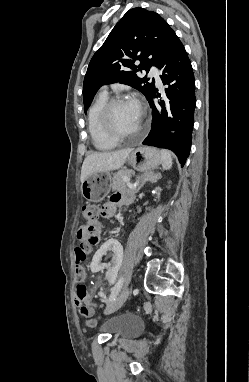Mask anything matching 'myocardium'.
Instances as JSON below:
<instances>
[{
    "instance_id": "f54148a6",
    "label": "myocardium",
    "mask_w": 249,
    "mask_h": 382,
    "mask_svg": "<svg viewBox=\"0 0 249 382\" xmlns=\"http://www.w3.org/2000/svg\"><path fill=\"white\" fill-rule=\"evenodd\" d=\"M126 101H127V99L122 97V96L113 97V98L107 100V102L105 103V105L103 106L102 111H101L100 119H101V126H102L104 133L111 140H114L117 142L138 136L141 134L142 130L144 129V115L143 114H141V120H140L139 126L134 133L121 134L118 131H116L115 128L113 127V124L111 121L112 109L117 104H120V103L126 102Z\"/></svg>"
}]
</instances>
